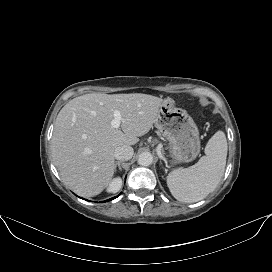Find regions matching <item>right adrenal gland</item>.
I'll use <instances>...</instances> for the list:
<instances>
[{
    "mask_svg": "<svg viewBox=\"0 0 272 272\" xmlns=\"http://www.w3.org/2000/svg\"><path fill=\"white\" fill-rule=\"evenodd\" d=\"M123 163V161H117L116 163H115V170H116V168L118 167V169L121 171L122 169H121V164Z\"/></svg>",
    "mask_w": 272,
    "mask_h": 272,
    "instance_id": "1",
    "label": "right adrenal gland"
}]
</instances>
